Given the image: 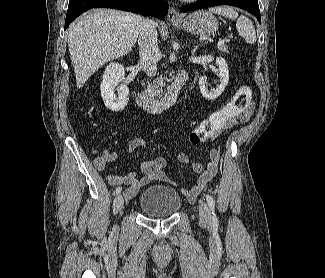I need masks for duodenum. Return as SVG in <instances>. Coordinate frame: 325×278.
I'll return each mask as SVG.
<instances>
[{"mask_svg": "<svg viewBox=\"0 0 325 278\" xmlns=\"http://www.w3.org/2000/svg\"><path fill=\"white\" fill-rule=\"evenodd\" d=\"M187 81L188 73L182 71L163 97L153 98L144 93L138 92L135 95V101L140 107L152 113H160L175 104L180 90Z\"/></svg>", "mask_w": 325, "mask_h": 278, "instance_id": "obj_1", "label": "duodenum"}]
</instances>
